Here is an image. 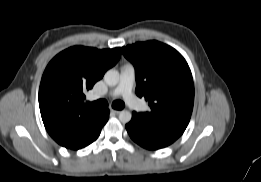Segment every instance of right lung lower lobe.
Segmentation results:
<instances>
[{"label":"right lung lower lobe","instance_id":"98d812e1","mask_svg":"<svg viewBox=\"0 0 261 182\" xmlns=\"http://www.w3.org/2000/svg\"><path fill=\"white\" fill-rule=\"evenodd\" d=\"M109 118V110L105 109L99 112L98 117L95 118L85 129L84 135L69 149L78 150L81 149L93 141H95L100 135L102 127L106 124Z\"/></svg>","mask_w":261,"mask_h":182}]
</instances>
